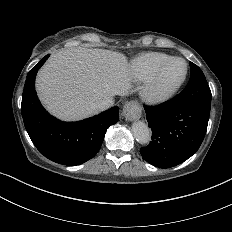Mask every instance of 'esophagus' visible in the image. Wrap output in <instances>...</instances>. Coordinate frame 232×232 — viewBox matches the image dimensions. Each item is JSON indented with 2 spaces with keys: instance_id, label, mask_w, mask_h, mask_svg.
<instances>
[{
  "instance_id": "1",
  "label": "esophagus",
  "mask_w": 232,
  "mask_h": 232,
  "mask_svg": "<svg viewBox=\"0 0 232 232\" xmlns=\"http://www.w3.org/2000/svg\"><path fill=\"white\" fill-rule=\"evenodd\" d=\"M123 115L128 121L139 119L142 115V107L137 100L129 101L123 107Z\"/></svg>"
}]
</instances>
